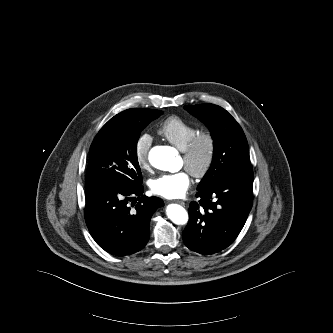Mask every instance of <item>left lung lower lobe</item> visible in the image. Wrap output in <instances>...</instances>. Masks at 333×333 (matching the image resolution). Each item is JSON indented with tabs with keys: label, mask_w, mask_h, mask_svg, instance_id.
Here are the masks:
<instances>
[{
	"label": "left lung lower lobe",
	"mask_w": 333,
	"mask_h": 333,
	"mask_svg": "<svg viewBox=\"0 0 333 333\" xmlns=\"http://www.w3.org/2000/svg\"><path fill=\"white\" fill-rule=\"evenodd\" d=\"M253 172H241L198 190L183 231L185 245L200 254L228 247L242 230L253 200Z\"/></svg>",
	"instance_id": "0a47b994"
}]
</instances>
